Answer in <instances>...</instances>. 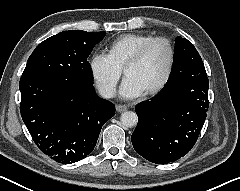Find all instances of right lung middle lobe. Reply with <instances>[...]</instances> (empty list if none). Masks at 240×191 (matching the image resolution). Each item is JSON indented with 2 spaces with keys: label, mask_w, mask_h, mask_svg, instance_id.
Here are the masks:
<instances>
[{
  "label": "right lung middle lobe",
  "mask_w": 240,
  "mask_h": 191,
  "mask_svg": "<svg viewBox=\"0 0 240 191\" xmlns=\"http://www.w3.org/2000/svg\"><path fill=\"white\" fill-rule=\"evenodd\" d=\"M106 32L63 31L42 43L30 55L21 77L58 76L85 86L93 85L87 58Z\"/></svg>",
  "instance_id": "1"
}]
</instances>
